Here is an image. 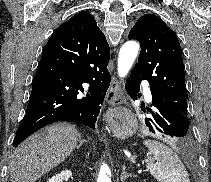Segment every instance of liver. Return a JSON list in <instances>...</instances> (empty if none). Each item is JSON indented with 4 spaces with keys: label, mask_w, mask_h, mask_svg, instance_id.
<instances>
[{
    "label": "liver",
    "mask_w": 211,
    "mask_h": 182,
    "mask_svg": "<svg viewBox=\"0 0 211 182\" xmlns=\"http://www.w3.org/2000/svg\"><path fill=\"white\" fill-rule=\"evenodd\" d=\"M80 134L74 125L58 123L28 137L13 152L11 182H35L73 152Z\"/></svg>",
    "instance_id": "1"
}]
</instances>
